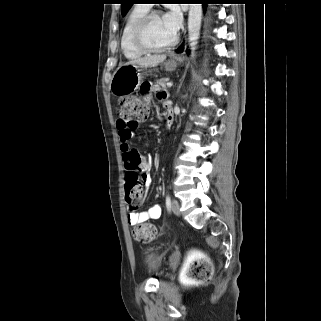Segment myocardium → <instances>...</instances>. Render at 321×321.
<instances>
[{
  "instance_id": "myocardium-1",
  "label": "myocardium",
  "mask_w": 321,
  "mask_h": 321,
  "mask_svg": "<svg viewBox=\"0 0 321 321\" xmlns=\"http://www.w3.org/2000/svg\"><path fill=\"white\" fill-rule=\"evenodd\" d=\"M160 12L156 10L148 11L136 23L132 32V42L134 46L144 53H160L172 49L178 42V35L175 33L173 39L166 45L155 47L147 43L145 39V30L151 18L160 16Z\"/></svg>"
}]
</instances>
